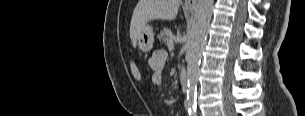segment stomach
<instances>
[{
  "label": "stomach",
  "instance_id": "0dacf381",
  "mask_svg": "<svg viewBox=\"0 0 305 116\" xmlns=\"http://www.w3.org/2000/svg\"><path fill=\"white\" fill-rule=\"evenodd\" d=\"M154 43V33L151 26L146 25L138 38V47L143 52H149Z\"/></svg>",
  "mask_w": 305,
  "mask_h": 116
}]
</instances>
